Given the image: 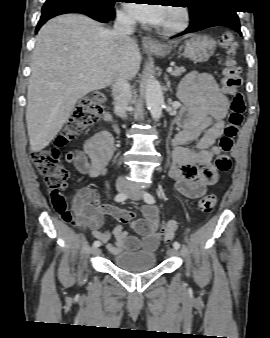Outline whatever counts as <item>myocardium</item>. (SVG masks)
Instances as JSON below:
<instances>
[{
  "label": "myocardium",
  "instance_id": "myocardium-1",
  "mask_svg": "<svg viewBox=\"0 0 270 338\" xmlns=\"http://www.w3.org/2000/svg\"><path fill=\"white\" fill-rule=\"evenodd\" d=\"M168 7L177 11L178 20L172 24L157 26V31L166 35H173L182 32L188 27L191 20V13L188 7L182 6L181 4H173L172 6Z\"/></svg>",
  "mask_w": 270,
  "mask_h": 338
}]
</instances>
